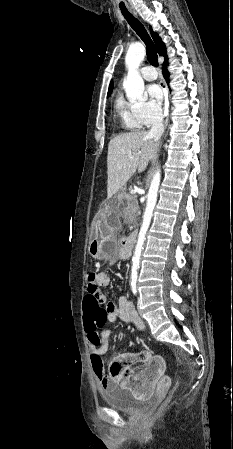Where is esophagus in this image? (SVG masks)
Segmentation results:
<instances>
[{"label":"esophagus","mask_w":233,"mask_h":449,"mask_svg":"<svg viewBox=\"0 0 233 449\" xmlns=\"http://www.w3.org/2000/svg\"><path fill=\"white\" fill-rule=\"evenodd\" d=\"M127 8L135 17H138L136 10L132 6H127Z\"/></svg>","instance_id":"esophagus-1"}]
</instances>
